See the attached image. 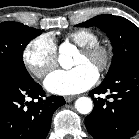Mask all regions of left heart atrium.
<instances>
[{"label":"left heart atrium","instance_id":"39dd6f15","mask_svg":"<svg viewBox=\"0 0 139 139\" xmlns=\"http://www.w3.org/2000/svg\"><path fill=\"white\" fill-rule=\"evenodd\" d=\"M98 79V72L92 66L83 64L70 70H56L45 79V88L54 94L70 95L92 87Z\"/></svg>","mask_w":139,"mask_h":139}]
</instances>
